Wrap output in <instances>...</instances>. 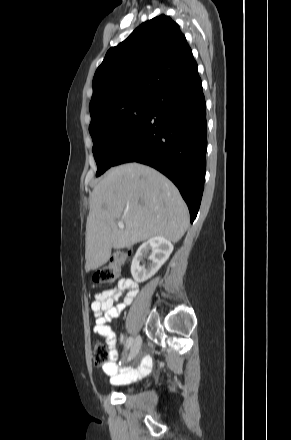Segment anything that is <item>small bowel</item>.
<instances>
[{
    "label": "small bowel",
    "mask_w": 291,
    "mask_h": 440,
    "mask_svg": "<svg viewBox=\"0 0 291 440\" xmlns=\"http://www.w3.org/2000/svg\"><path fill=\"white\" fill-rule=\"evenodd\" d=\"M122 290L127 291L126 295L122 301L114 305ZM137 293V284L130 279L122 278L116 288L96 293L91 304L92 312L96 316L93 331L95 334L105 337L110 352V359L102 365V368L110 377V382L113 385H120L138 379L141 375L147 374L152 367V358L145 356L140 360L137 368L126 367L120 371L118 370L116 335L109 324L116 320L121 312L133 302ZM121 341H123V338H121Z\"/></svg>",
    "instance_id": "1"
}]
</instances>
